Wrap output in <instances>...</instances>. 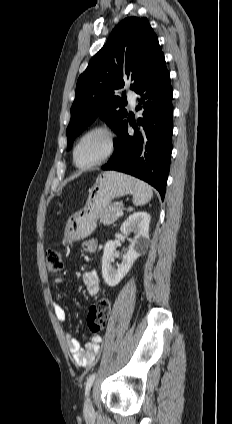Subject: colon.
I'll return each mask as SVG.
<instances>
[{
	"instance_id": "obj_1",
	"label": "colon",
	"mask_w": 232,
	"mask_h": 424,
	"mask_svg": "<svg viewBox=\"0 0 232 424\" xmlns=\"http://www.w3.org/2000/svg\"><path fill=\"white\" fill-rule=\"evenodd\" d=\"M45 263L49 272H57L62 268V255L54 249L48 248L45 252ZM111 311V303L107 298L98 300L89 310L87 325L93 334H98L105 326Z\"/></svg>"
}]
</instances>
